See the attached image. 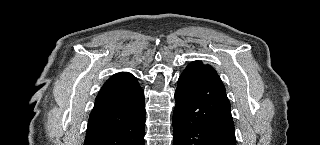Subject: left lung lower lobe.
Instances as JSON below:
<instances>
[{
    "instance_id": "left-lung-lower-lobe-1",
    "label": "left lung lower lobe",
    "mask_w": 320,
    "mask_h": 145,
    "mask_svg": "<svg viewBox=\"0 0 320 145\" xmlns=\"http://www.w3.org/2000/svg\"><path fill=\"white\" fill-rule=\"evenodd\" d=\"M174 145H236L225 87L210 65L190 63L178 79Z\"/></svg>"
}]
</instances>
